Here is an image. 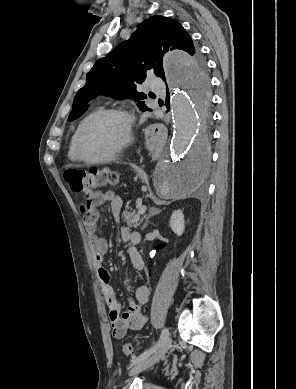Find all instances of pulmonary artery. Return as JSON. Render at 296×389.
I'll list each match as a JSON object with an SVG mask.
<instances>
[{
    "label": "pulmonary artery",
    "mask_w": 296,
    "mask_h": 389,
    "mask_svg": "<svg viewBox=\"0 0 296 389\" xmlns=\"http://www.w3.org/2000/svg\"><path fill=\"white\" fill-rule=\"evenodd\" d=\"M148 86L152 91H158V92L163 91V83L159 80L149 81Z\"/></svg>",
    "instance_id": "e3ab8cb5"
}]
</instances>
